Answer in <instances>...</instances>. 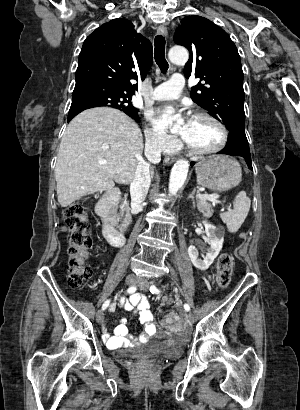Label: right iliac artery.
I'll use <instances>...</instances> for the list:
<instances>
[{"label":"right iliac artery","instance_id":"1","mask_svg":"<svg viewBox=\"0 0 300 410\" xmlns=\"http://www.w3.org/2000/svg\"><path fill=\"white\" fill-rule=\"evenodd\" d=\"M136 289H137L136 286H131L127 289V292L129 294H132L136 291ZM109 303H110V300L105 301L104 304L102 305V310H105L109 306Z\"/></svg>","mask_w":300,"mask_h":410}]
</instances>
